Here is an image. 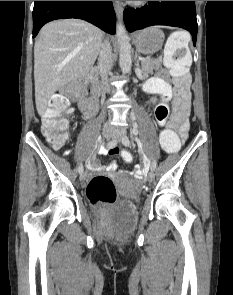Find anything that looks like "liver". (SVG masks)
I'll return each instance as SVG.
<instances>
[{"instance_id":"6515ba94","label":"liver","mask_w":233,"mask_h":295,"mask_svg":"<svg viewBox=\"0 0 233 295\" xmlns=\"http://www.w3.org/2000/svg\"><path fill=\"white\" fill-rule=\"evenodd\" d=\"M103 39L96 26L79 19H64L42 27L34 45L35 102L43 115L52 95L82 78L93 67Z\"/></svg>"}]
</instances>
